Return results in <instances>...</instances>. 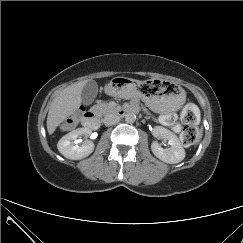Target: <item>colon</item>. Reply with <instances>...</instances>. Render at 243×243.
I'll return each instance as SVG.
<instances>
[{
  "mask_svg": "<svg viewBox=\"0 0 243 243\" xmlns=\"http://www.w3.org/2000/svg\"><path fill=\"white\" fill-rule=\"evenodd\" d=\"M164 124L172 126L173 129L180 133V140L183 145H192L197 138V125L199 122V110L194 104H187L181 112V123L177 122L176 116L172 113L164 114L161 117ZM75 116L69 117L65 123V128H71L75 124Z\"/></svg>",
  "mask_w": 243,
  "mask_h": 243,
  "instance_id": "5ec220e1",
  "label": "colon"
}]
</instances>
